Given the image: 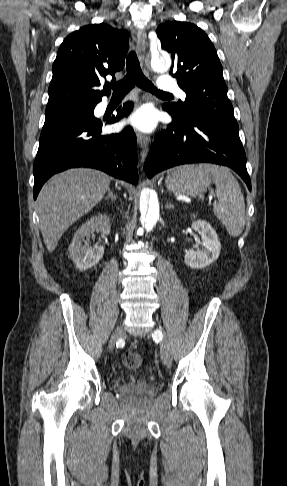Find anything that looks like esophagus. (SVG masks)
Masks as SVG:
<instances>
[{
	"label": "esophagus",
	"mask_w": 287,
	"mask_h": 486,
	"mask_svg": "<svg viewBox=\"0 0 287 486\" xmlns=\"http://www.w3.org/2000/svg\"><path fill=\"white\" fill-rule=\"evenodd\" d=\"M133 31L137 36L138 53H139L140 60L143 62L145 59V50H146L145 36L143 31L140 28H135ZM136 136H137V141L140 144L145 143L147 141V137L140 132H138ZM146 154H147V149L144 148L141 152L142 161H144Z\"/></svg>",
	"instance_id": "34e87169"
}]
</instances>
